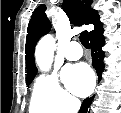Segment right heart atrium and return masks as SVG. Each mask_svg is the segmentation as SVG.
<instances>
[{"instance_id": "d8ad5b80", "label": "right heart atrium", "mask_w": 121, "mask_h": 113, "mask_svg": "<svg viewBox=\"0 0 121 113\" xmlns=\"http://www.w3.org/2000/svg\"><path fill=\"white\" fill-rule=\"evenodd\" d=\"M35 97L48 113H71L78 109V101L67 93L53 73L41 75L35 84Z\"/></svg>"}]
</instances>
